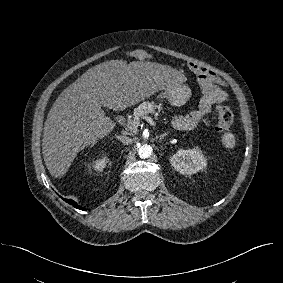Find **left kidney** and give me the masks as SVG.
Segmentation results:
<instances>
[{
	"label": "left kidney",
	"instance_id": "5707ae66",
	"mask_svg": "<svg viewBox=\"0 0 283 283\" xmlns=\"http://www.w3.org/2000/svg\"><path fill=\"white\" fill-rule=\"evenodd\" d=\"M171 165L181 174H194L207 166V159L196 147L189 150L180 149L170 157Z\"/></svg>",
	"mask_w": 283,
	"mask_h": 283
}]
</instances>
